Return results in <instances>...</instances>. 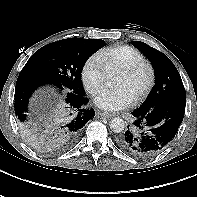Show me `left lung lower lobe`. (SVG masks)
Returning a JSON list of instances; mask_svg holds the SVG:
<instances>
[{"label": "left lung lower lobe", "mask_w": 197, "mask_h": 197, "mask_svg": "<svg viewBox=\"0 0 197 197\" xmlns=\"http://www.w3.org/2000/svg\"><path fill=\"white\" fill-rule=\"evenodd\" d=\"M185 106L186 96H175L150 109H135L133 125L118 138L119 147L140 159L159 154L174 139L183 121Z\"/></svg>", "instance_id": "1"}]
</instances>
